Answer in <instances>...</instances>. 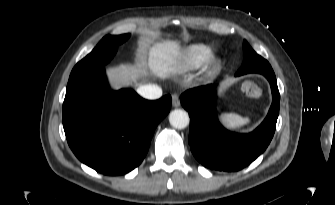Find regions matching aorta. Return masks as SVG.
<instances>
[{"label":"aorta","instance_id":"1","mask_svg":"<svg viewBox=\"0 0 335 205\" xmlns=\"http://www.w3.org/2000/svg\"><path fill=\"white\" fill-rule=\"evenodd\" d=\"M169 122L174 128L184 129L188 126L190 118L186 111L175 109L169 114Z\"/></svg>","mask_w":335,"mask_h":205}]
</instances>
